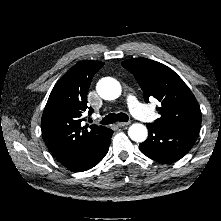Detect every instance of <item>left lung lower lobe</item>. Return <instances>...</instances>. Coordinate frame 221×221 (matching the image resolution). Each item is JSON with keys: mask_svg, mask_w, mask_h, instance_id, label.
<instances>
[{"mask_svg": "<svg viewBox=\"0 0 221 221\" xmlns=\"http://www.w3.org/2000/svg\"><path fill=\"white\" fill-rule=\"evenodd\" d=\"M149 135L139 148L147 157L171 163L181 159L194 145L198 133L188 130H171L147 123Z\"/></svg>", "mask_w": 221, "mask_h": 221, "instance_id": "obj_1", "label": "left lung lower lobe"}]
</instances>
